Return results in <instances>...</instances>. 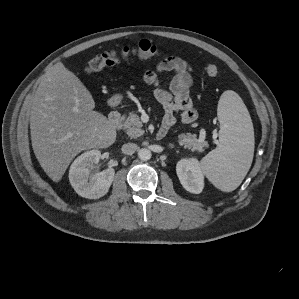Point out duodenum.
Instances as JSON below:
<instances>
[{"label": "duodenum", "instance_id": "410a0bca", "mask_svg": "<svg viewBox=\"0 0 299 299\" xmlns=\"http://www.w3.org/2000/svg\"><path fill=\"white\" fill-rule=\"evenodd\" d=\"M120 121H121V114L117 110H113L112 112H110L108 116V122L112 128L114 129L118 128L120 125ZM166 133L167 132L163 128H161L157 133V137L161 139L166 135Z\"/></svg>", "mask_w": 299, "mask_h": 299}]
</instances>
